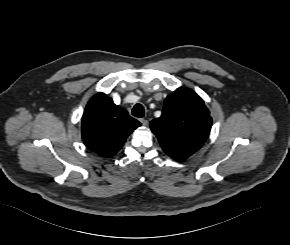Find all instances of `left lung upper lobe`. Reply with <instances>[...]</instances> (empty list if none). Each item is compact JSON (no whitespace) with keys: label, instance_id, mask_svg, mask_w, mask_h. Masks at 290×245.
Listing matches in <instances>:
<instances>
[{"label":"left lung upper lobe","instance_id":"5c2ea615","mask_svg":"<svg viewBox=\"0 0 290 245\" xmlns=\"http://www.w3.org/2000/svg\"><path fill=\"white\" fill-rule=\"evenodd\" d=\"M211 125L203 100L191 89L178 88L166 98L161 117L152 120L150 128L171 158L183 160L202 147Z\"/></svg>","mask_w":290,"mask_h":245}]
</instances>
